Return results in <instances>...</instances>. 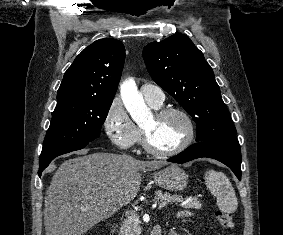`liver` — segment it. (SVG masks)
Instances as JSON below:
<instances>
[{"label": "liver", "mask_w": 283, "mask_h": 235, "mask_svg": "<svg viewBox=\"0 0 283 235\" xmlns=\"http://www.w3.org/2000/svg\"><path fill=\"white\" fill-rule=\"evenodd\" d=\"M77 154L82 156L59 166L46 192V235H84L136 197L141 185L139 171L166 165L111 153L82 150Z\"/></svg>", "instance_id": "6515ba94"}]
</instances>
